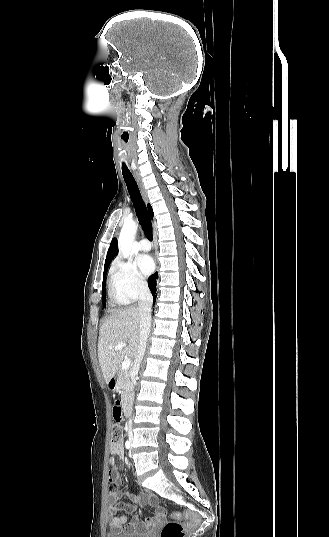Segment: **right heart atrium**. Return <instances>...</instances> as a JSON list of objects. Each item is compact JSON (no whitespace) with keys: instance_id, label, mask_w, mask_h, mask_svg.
<instances>
[{"instance_id":"obj_1","label":"right heart atrium","mask_w":329,"mask_h":537,"mask_svg":"<svg viewBox=\"0 0 329 537\" xmlns=\"http://www.w3.org/2000/svg\"><path fill=\"white\" fill-rule=\"evenodd\" d=\"M110 283L118 296L125 302H131L143 296L148 285L134 263L116 260L110 270Z\"/></svg>"}]
</instances>
